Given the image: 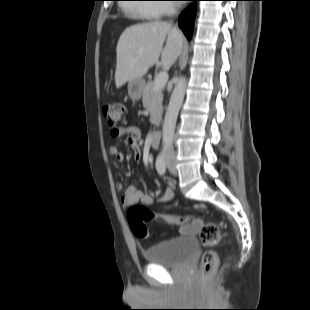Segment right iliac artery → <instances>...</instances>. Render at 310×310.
Masks as SVG:
<instances>
[{
    "label": "right iliac artery",
    "instance_id": "right-iliac-artery-1",
    "mask_svg": "<svg viewBox=\"0 0 310 310\" xmlns=\"http://www.w3.org/2000/svg\"><path fill=\"white\" fill-rule=\"evenodd\" d=\"M156 169L160 175H163L166 171V163L164 153H161L156 160Z\"/></svg>",
    "mask_w": 310,
    "mask_h": 310
}]
</instances>
